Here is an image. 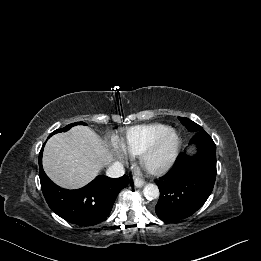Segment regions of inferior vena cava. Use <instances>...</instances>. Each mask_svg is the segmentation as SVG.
Wrapping results in <instances>:
<instances>
[{"mask_svg":"<svg viewBox=\"0 0 261 261\" xmlns=\"http://www.w3.org/2000/svg\"><path fill=\"white\" fill-rule=\"evenodd\" d=\"M125 173L124 166L120 162H113L106 170V175L111 178H118Z\"/></svg>","mask_w":261,"mask_h":261,"instance_id":"obj_1","label":"inferior vena cava"}]
</instances>
